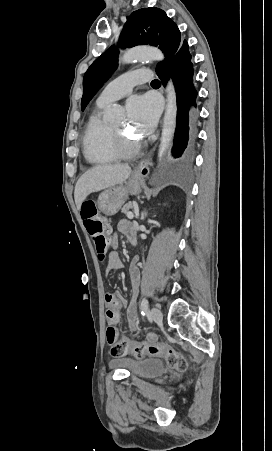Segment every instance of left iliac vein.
Instances as JSON below:
<instances>
[{"label": "left iliac vein", "mask_w": 272, "mask_h": 451, "mask_svg": "<svg viewBox=\"0 0 272 451\" xmlns=\"http://www.w3.org/2000/svg\"><path fill=\"white\" fill-rule=\"evenodd\" d=\"M151 317L156 322H161L163 320L162 312L156 307L152 308Z\"/></svg>", "instance_id": "obj_1"}]
</instances>
